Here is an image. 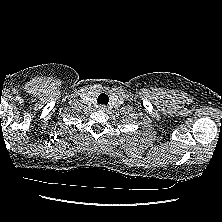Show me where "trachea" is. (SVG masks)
I'll return each instance as SVG.
<instances>
[{"label":"trachea","mask_w":222,"mask_h":222,"mask_svg":"<svg viewBox=\"0 0 222 222\" xmlns=\"http://www.w3.org/2000/svg\"><path fill=\"white\" fill-rule=\"evenodd\" d=\"M97 101H98V104L107 105L109 102V97L105 93H102L98 96Z\"/></svg>","instance_id":"obj_1"}]
</instances>
